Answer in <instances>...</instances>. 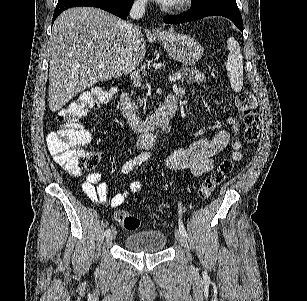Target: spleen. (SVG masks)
I'll return each mask as SVG.
<instances>
[{
  "label": "spleen",
  "instance_id": "1",
  "mask_svg": "<svg viewBox=\"0 0 307 301\" xmlns=\"http://www.w3.org/2000/svg\"><path fill=\"white\" fill-rule=\"evenodd\" d=\"M227 48L230 52L227 56L226 70L230 78L231 88L240 92L243 86V56L240 52L239 42L230 36L227 40Z\"/></svg>",
  "mask_w": 307,
  "mask_h": 301
}]
</instances>
